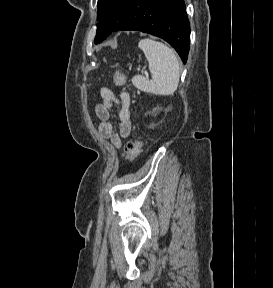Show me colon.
Here are the masks:
<instances>
[{
	"label": "colon",
	"instance_id": "obj_1",
	"mask_svg": "<svg viewBox=\"0 0 273 288\" xmlns=\"http://www.w3.org/2000/svg\"><path fill=\"white\" fill-rule=\"evenodd\" d=\"M114 83L117 86H123L125 83V75L122 71H116L114 74ZM142 141L140 139L129 140L124 147V159L127 162L134 160L140 153Z\"/></svg>",
	"mask_w": 273,
	"mask_h": 288
}]
</instances>
